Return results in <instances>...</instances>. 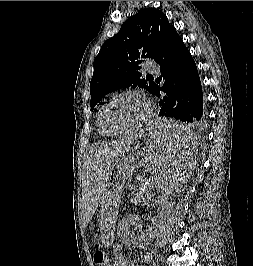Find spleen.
<instances>
[{
    "label": "spleen",
    "mask_w": 253,
    "mask_h": 266,
    "mask_svg": "<svg viewBox=\"0 0 253 266\" xmlns=\"http://www.w3.org/2000/svg\"><path fill=\"white\" fill-rule=\"evenodd\" d=\"M155 132H165L159 145H153L152 160H142L138 173L131 176L127 191L139 199L157 196L153 187L162 194H170L174 187H183L198 154L195 123H175L174 117H154ZM146 190H151L146 191Z\"/></svg>",
    "instance_id": "1"
}]
</instances>
